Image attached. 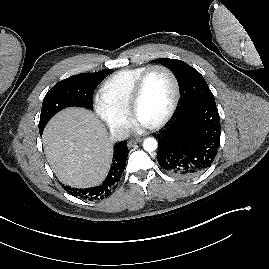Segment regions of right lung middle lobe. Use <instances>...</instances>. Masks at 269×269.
<instances>
[{
	"label": "right lung middle lobe",
	"mask_w": 269,
	"mask_h": 269,
	"mask_svg": "<svg viewBox=\"0 0 269 269\" xmlns=\"http://www.w3.org/2000/svg\"><path fill=\"white\" fill-rule=\"evenodd\" d=\"M111 69L89 74H79L56 83L45 95L39 121V132H43L48 121L60 110L70 106L92 109V97L99 83Z\"/></svg>",
	"instance_id": "1"
}]
</instances>
